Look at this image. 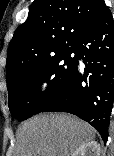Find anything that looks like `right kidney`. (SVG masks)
<instances>
[{"label": "right kidney", "mask_w": 114, "mask_h": 156, "mask_svg": "<svg viewBox=\"0 0 114 156\" xmlns=\"http://www.w3.org/2000/svg\"><path fill=\"white\" fill-rule=\"evenodd\" d=\"M100 145L96 141H89L79 146L72 156H100Z\"/></svg>", "instance_id": "obj_1"}]
</instances>
